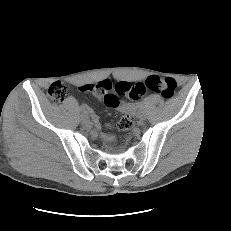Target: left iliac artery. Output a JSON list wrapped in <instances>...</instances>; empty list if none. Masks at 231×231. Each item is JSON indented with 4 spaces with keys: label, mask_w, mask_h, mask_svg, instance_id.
<instances>
[{
    "label": "left iliac artery",
    "mask_w": 231,
    "mask_h": 231,
    "mask_svg": "<svg viewBox=\"0 0 231 231\" xmlns=\"http://www.w3.org/2000/svg\"><path fill=\"white\" fill-rule=\"evenodd\" d=\"M138 109L139 110H144L145 109V102L144 101H139L138 102Z\"/></svg>",
    "instance_id": "left-iliac-artery-1"
}]
</instances>
